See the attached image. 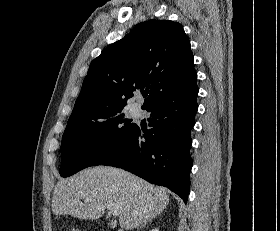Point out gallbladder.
<instances>
[{
  "label": "gallbladder",
  "mask_w": 280,
  "mask_h": 231,
  "mask_svg": "<svg viewBox=\"0 0 280 231\" xmlns=\"http://www.w3.org/2000/svg\"><path fill=\"white\" fill-rule=\"evenodd\" d=\"M108 227H116L117 225V221H109V223H107Z\"/></svg>",
  "instance_id": "gallbladder-1"
}]
</instances>
